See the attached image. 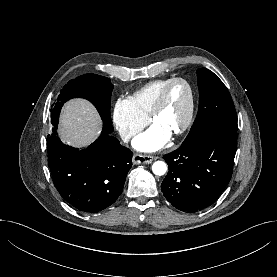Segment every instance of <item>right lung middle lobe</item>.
Returning <instances> with one entry per match:
<instances>
[{
    "label": "right lung middle lobe",
    "mask_w": 277,
    "mask_h": 277,
    "mask_svg": "<svg viewBox=\"0 0 277 277\" xmlns=\"http://www.w3.org/2000/svg\"><path fill=\"white\" fill-rule=\"evenodd\" d=\"M113 85L109 78L97 74H85L70 80L61 90L54 110H61L64 102L74 97L89 100L98 110L102 120L111 123L110 101Z\"/></svg>",
    "instance_id": "1"
}]
</instances>
